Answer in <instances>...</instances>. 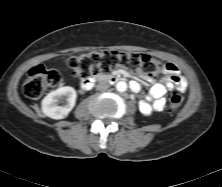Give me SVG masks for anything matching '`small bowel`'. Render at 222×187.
Listing matches in <instances>:
<instances>
[{
    "instance_id": "1",
    "label": "small bowel",
    "mask_w": 222,
    "mask_h": 187,
    "mask_svg": "<svg viewBox=\"0 0 222 187\" xmlns=\"http://www.w3.org/2000/svg\"><path fill=\"white\" fill-rule=\"evenodd\" d=\"M164 71L167 76L160 78L143 76V79L151 85L146 100H142L139 104L140 111L146 116L164 109V95L167 89L177 87L180 90H185L187 88V82L185 78L179 74V69L176 65L167 63L165 64ZM133 89L138 91L140 86L134 84Z\"/></svg>"
}]
</instances>
